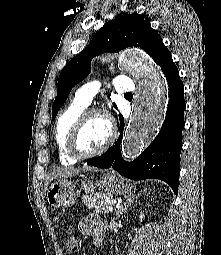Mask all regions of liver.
Returning <instances> with one entry per match:
<instances>
[{
  "label": "liver",
  "mask_w": 221,
  "mask_h": 255,
  "mask_svg": "<svg viewBox=\"0 0 221 255\" xmlns=\"http://www.w3.org/2000/svg\"><path fill=\"white\" fill-rule=\"evenodd\" d=\"M91 170L95 171L94 168L89 166H85L82 169L81 168H58L55 171H53L52 174L47 178L45 182V190H46V186H48V184L54 179L69 178L79 174L82 171H91Z\"/></svg>",
  "instance_id": "obj_1"
}]
</instances>
